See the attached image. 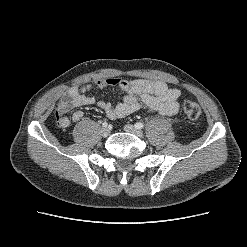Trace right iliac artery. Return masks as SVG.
Listing matches in <instances>:
<instances>
[{"label": "right iliac artery", "mask_w": 247, "mask_h": 247, "mask_svg": "<svg viewBox=\"0 0 247 247\" xmlns=\"http://www.w3.org/2000/svg\"><path fill=\"white\" fill-rule=\"evenodd\" d=\"M102 125H103V127H107L108 126V123L107 122H104Z\"/></svg>", "instance_id": "right-iliac-artery-1"}]
</instances>
